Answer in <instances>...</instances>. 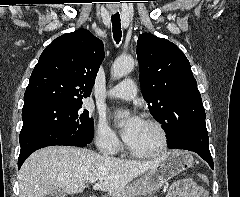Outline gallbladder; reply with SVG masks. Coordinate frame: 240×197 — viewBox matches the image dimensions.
<instances>
[{
    "instance_id": "1",
    "label": "gallbladder",
    "mask_w": 240,
    "mask_h": 197,
    "mask_svg": "<svg viewBox=\"0 0 240 197\" xmlns=\"http://www.w3.org/2000/svg\"><path fill=\"white\" fill-rule=\"evenodd\" d=\"M50 197H66L65 193L60 190H54L49 193Z\"/></svg>"
}]
</instances>
